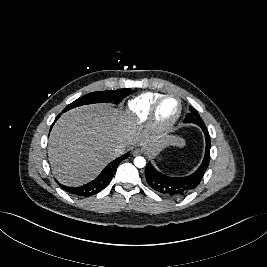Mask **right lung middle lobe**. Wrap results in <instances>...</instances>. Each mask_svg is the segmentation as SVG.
Here are the masks:
<instances>
[{
  "mask_svg": "<svg viewBox=\"0 0 267 267\" xmlns=\"http://www.w3.org/2000/svg\"><path fill=\"white\" fill-rule=\"evenodd\" d=\"M130 93L131 89L129 88L119 89L116 91H98L89 93L69 104L63 110V112L85 104L118 102L121 101L124 97L128 96Z\"/></svg>",
  "mask_w": 267,
  "mask_h": 267,
  "instance_id": "right-lung-middle-lobe-1",
  "label": "right lung middle lobe"
}]
</instances>
